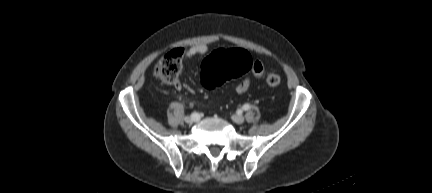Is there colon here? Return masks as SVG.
Masks as SVG:
<instances>
[{"instance_id": "1", "label": "colon", "mask_w": 432, "mask_h": 193, "mask_svg": "<svg viewBox=\"0 0 432 193\" xmlns=\"http://www.w3.org/2000/svg\"><path fill=\"white\" fill-rule=\"evenodd\" d=\"M253 60L241 49L214 51L202 65L201 81L206 88H214L225 80L237 78L249 73ZM182 69V52L173 50L166 53L156 63L155 75L164 83L174 84ZM266 83L271 87L281 84V76L276 72L266 75Z\"/></svg>"}]
</instances>
